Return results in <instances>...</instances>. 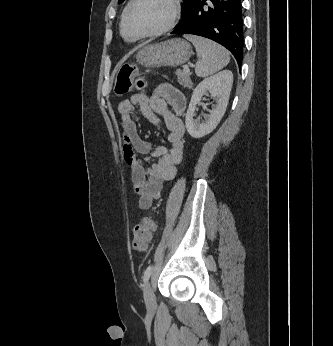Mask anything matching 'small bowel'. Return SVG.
I'll return each instance as SVG.
<instances>
[{"mask_svg": "<svg viewBox=\"0 0 333 346\" xmlns=\"http://www.w3.org/2000/svg\"><path fill=\"white\" fill-rule=\"evenodd\" d=\"M186 105L185 96L175 86L161 83L150 97L138 92L118 106L125 161L131 169L130 181L133 191L138 195V207L141 210L149 209L160 198L164 183L174 178L177 165L182 161L185 127L180 116L185 112ZM136 107L153 124L160 123L158 116L163 118L168 130V148L153 146L140 137L132 116ZM140 155H149L145 160L156 159V162L145 168Z\"/></svg>", "mask_w": 333, "mask_h": 346, "instance_id": "c3829d8e", "label": "small bowel"}]
</instances>
